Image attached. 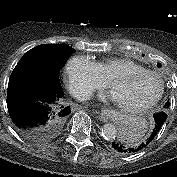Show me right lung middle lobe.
I'll list each match as a JSON object with an SVG mask.
<instances>
[{
  "label": "right lung middle lobe",
  "mask_w": 177,
  "mask_h": 177,
  "mask_svg": "<svg viewBox=\"0 0 177 177\" xmlns=\"http://www.w3.org/2000/svg\"><path fill=\"white\" fill-rule=\"evenodd\" d=\"M74 51L73 48L66 45L44 44L36 46L23 55L12 73L34 68L47 72L58 79L61 67Z\"/></svg>",
  "instance_id": "dd1d6c3e"
}]
</instances>
